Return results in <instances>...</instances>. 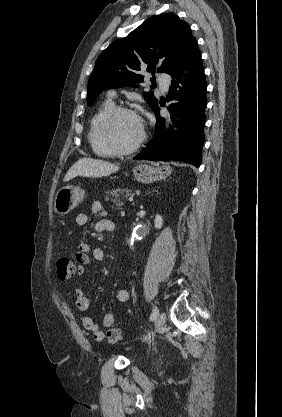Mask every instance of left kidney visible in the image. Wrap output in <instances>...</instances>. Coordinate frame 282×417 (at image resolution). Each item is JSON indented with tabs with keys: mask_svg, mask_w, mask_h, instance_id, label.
<instances>
[{
	"mask_svg": "<svg viewBox=\"0 0 282 417\" xmlns=\"http://www.w3.org/2000/svg\"><path fill=\"white\" fill-rule=\"evenodd\" d=\"M154 225H155V229H161L163 225V219L161 215H155Z\"/></svg>",
	"mask_w": 282,
	"mask_h": 417,
	"instance_id": "1",
	"label": "left kidney"
}]
</instances>
